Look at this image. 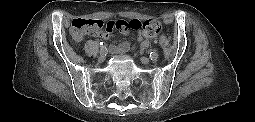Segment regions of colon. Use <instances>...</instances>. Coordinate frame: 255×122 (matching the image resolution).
Masks as SVG:
<instances>
[{"label":"colon","mask_w":255,"mask_h":122,"mask_svg":"<svg viewBox=\"0 0 255 122\" xmlns=\"http://www.w3.org/2000/svg\"><path fill=\"white\" fill-rule=\"evenodd\" d=\"M114 28H128L131 30H139L147 37H155L162 29L161 22L156 19L140 21L137 19L125 21H109L104 22L100 19H75L72 23L71 34L74 39L79 40L86 31H110Z\"/></svg>","instance_id":"5ec220e1"}]
</instances>
